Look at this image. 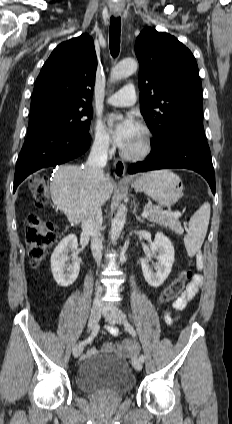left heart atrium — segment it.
Returning a JSON list of instances; mask_svg holds the SVG:
<instances>
[{"label":"left heart atrium","mask_w":232,"mask_h":424,"mask_svg":"<svg viewBox=\"0 0 232 424\" xmlns=\"http://www.w3.org/2000/svg\"><path fill=\"white\" fill-rule=\"evenodd\" d=\"M139 130V124L133 117L126 116L122 118L115 124L113 129L114 143L121 148H125Z\"/></svg>","instance_id":"left-heart-atrium-1"}]
</instances>
